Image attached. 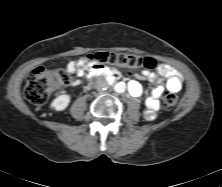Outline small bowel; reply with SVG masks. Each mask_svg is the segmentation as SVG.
Returning <instances> with one entry per match:
<instances>
[{
    "label": "small bowel",
    "mask_w": 222,
    "mask_h": 187,
    "mask_svg": "<svg viewBox=\"0 0 222 187\" xmlns=\"http://www.w3.org/2000/svg\"><path fill=\"white\" fill-rule=\"evenodd\" d=\"M67 69L73 74V86H77L81 78L92 71L84 58L69 62ZM136 77L138 79H145L156 85L145 101L144 116L147 120L155 119L159 107V97L165 90L177 92L181 90L183 85L182 75L177 70L165 64H161L156 72L143 70ZM129 92L133 97H140L143 89L138 81L133 80L129 83Z\"/></svg>",
    "instance_id": "1"
}]
</instances>
